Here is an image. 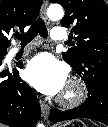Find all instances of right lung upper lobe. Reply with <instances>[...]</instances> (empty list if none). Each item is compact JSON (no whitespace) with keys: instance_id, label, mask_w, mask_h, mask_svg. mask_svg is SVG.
<instances>
[{"instance_id":"obj_1","label":"right lung upper lobe","mask_w":108,"mask_h":127,"mask_svg":"<svg viewBox=\"0 0 108 127\" xmlns=\"http://www.w3.org/2000/svg\"><path fill=\"white\" fill-rule=\"evenodd\" d=\"M42 0H0V50H7L12 31L32 24L38 16Z\"/></svg>"}]
</instances>
